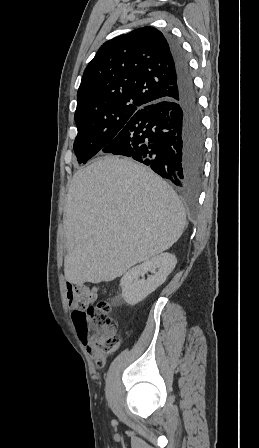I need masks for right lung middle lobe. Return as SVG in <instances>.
Instances as JSON below:
<instances>
[{"mask_svg":"<svg viewBox=\"0 0 259 448\" xmlns=\"http://www.w3.org/2000/svg\"><path fill=\"white\" fill-rule=\"evenodd\" d=\"M144 111L142 107H131L109 113L75 115L78 134L74 141V152L79 164L86 163L102 150L121 131L132 116Z\"/></svg>","mask_w":259,"mask_h":448,"instance_id":"obj_1","label":"right lung middle lobe"}]
</instances>
